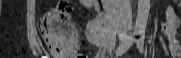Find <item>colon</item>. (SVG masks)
<instances>
[{"instance_id": "colon-1", "label": "colon", "mask_w": 181, "mask_h": 58, "mask_svg": "<svg viewBox=\"0 0 181 58\" xmlns=\"http://www.w3.org/2000/svg\"><path fill=\"white\" fill-rule=\"evenodd\" d=\"M71 7L67 1H60L48 10L39 25L41 36L50 51L59 56L86 58L76 52V30L71 23Z\"/></svg>"}]
</instances>
